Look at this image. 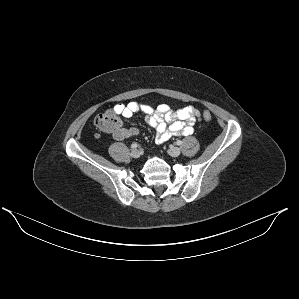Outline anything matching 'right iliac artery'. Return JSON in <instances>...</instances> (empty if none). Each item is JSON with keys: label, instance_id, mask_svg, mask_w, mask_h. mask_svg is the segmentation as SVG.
<instances>
[{"label": "right iliac artery", "instance_id": "right-iliac-artery-1", "mask_svg": "<svg viewBox=\"0 0 299 299\" xmlns=\"http://www.w3.org/2000/svg\"><path fill=\"white\" fill-rule=\"evenodd\" d=\"M139 145L137 144V143H133L132 145H131V148H133V149H135V148H137Z\"/></svg>", "mask_w": 299, "mask_h": 299}]
</instances>
